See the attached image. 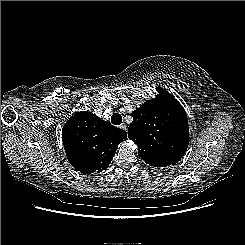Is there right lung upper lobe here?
I'll use <instances>...</instances> for the list:
<instances>
[{
	"instance_id": "cb5924a9",
	"label": "right lung upper lobe",
	"mask_w": 245,
	"mask_h": 245,
	"mask_svg": "<svg viewBox=\"0 0 245 245\" xmlns=\"http://www.w3.org/2000/svg\"><path fill=\"white\" fill-rule=\"evenodd\" d=\"M126 138L125 131L89 111L75 113L62 129L66 156L71 165L84 174L106 169L119 143Z\"/></svg>"
}]
</instances>
